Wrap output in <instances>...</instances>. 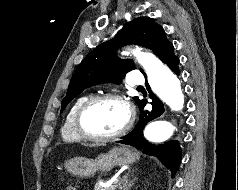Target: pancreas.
<instances>
[{
  "label": "pancreas",
  "mask_w": 238,
  "mask_h": 190,
  "mask_svg": "<svg viewBox=\"0 0 238 190\" xmlns=\"http://www.w3.org/2000/svg\"><path fill=\"white\" fill-rule=\"evenodd\" d=\"M117 184H112L110 186H101L99 183L95 184L94 190H115Z\"/></svg>",
  "instance_id": "1"
}]
</instances>
